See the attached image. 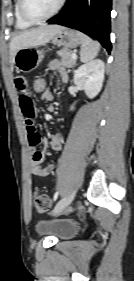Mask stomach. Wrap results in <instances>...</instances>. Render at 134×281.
<instances>
[{"label":"stomach","mask_w":134,"mask_h":281,"mask_svg":"<svg viewBox=\"0 0 134 281\" xmlns=\"http://www.w3.org/2000/svg\"><path fill=\"white\" fill-rule=\"evenodd\" d=\"M55 45L65 48H75L81 44V33L63 27L52 39ZM44 57L43 51L34 48H24L16 52L14 57V66L17 71L28 73L36 69Z\"/></svg>","instance_id":"0dacf381"}]
</instances>
